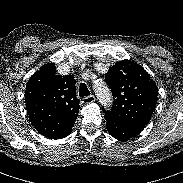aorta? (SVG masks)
<instances>
[{"instance_id":"obj_1","label":"aorta","mask_w":183,"mask_h":183,"mask_svg":"<svg viewBox=\"0 0 183 183\" xmlns=\"http://www.w3.org/2000/svg\"><path fill=\"white\" fill-rule=\"evenodd\" d=\"M94 91L103 106L108 107L111 105L112 95L109 88L105 84L95 85Z\"/></svg>"}]
</instances>
